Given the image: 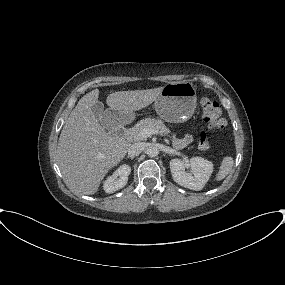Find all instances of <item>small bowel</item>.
Wrapping results in <instances>:
<instances>
[{
  "label": "small bowel",
  "instance_id": "obj_1",
  "mask_svg": "<svg viewBox=\"0 0 285 285\" xmlns=\"http://www.w3.org/2000/svg\"><path fill=\"white\" fill-rule=\"evenodd\" d=\"M192 140H193V137L191 134H187L183 137L173 136V144L178 149H182L186 147L192 142Z\"/></svg>",
  "mask_w": 285,
  "mask_h": 285
}]
</instances>
